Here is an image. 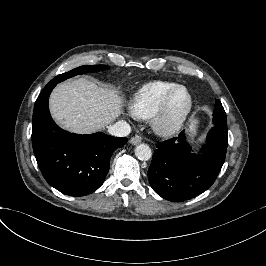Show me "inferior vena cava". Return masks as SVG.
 Here are the masks:
<instances>
[{"mask_svg":"<svg viewBox=\"0 0 266 266\" xmlns=\"http://www.w3.org/2000/svg\"><path fill=\"white\" fill-rule=\"evenodd\" d=\"M108 132L109 134L116 136V137H125L130 134L131 132V127L130 125L124 121H118L113 125H110L108 127Z\"/></svg>","mask_w":266,"mask_h":266,"instance_id":"inferior-vena-cava-1","label":"inferior vena cava"}]
</instances>
